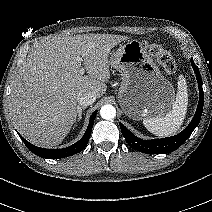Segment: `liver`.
<instances>
[{
  "instance_id": "liver-1",
  "label": "liver",
  "mask_w": 212,
  "mask_h": 212,
  "mask_svg": "<svg viewBox=\"0 0 212 212\" xmlns=\"http://www.w3.org/2000/svg\"><path fill=\"white\" fill-rule=\"evenodd\" d=\"M125 39L111 34L57 35L38 43L18 69L11 92L10 112L19 133L37 146L60 144L75 121L78 94L100 98L106 92L109 52ZM82 66L88 75L80 74Z\"/></svg>"
}]
</instances>
